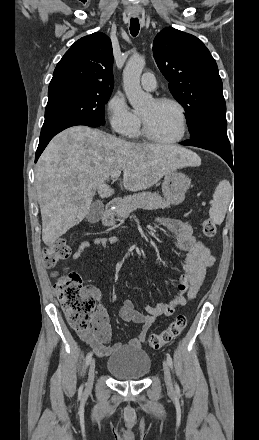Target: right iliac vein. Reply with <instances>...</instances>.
Returning <instances> with one entry per match:
<instances>
[{"instance_id":"1","label":"right iliac vein","mask_w":259,"mask_h":440,"mask_svg":"<svg viewBox=\"0 0 259 440\" xmlns=\"http://www.w3.org/2000/svg\"><path fill=\"white\" fill-rule=\"evenodd\" d=\"M94 376H95V359H92L89 364L87 389H90L92 387Z\"/></svg>"}]
</instances>
